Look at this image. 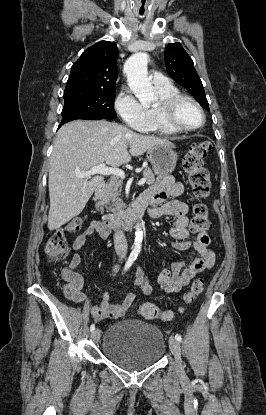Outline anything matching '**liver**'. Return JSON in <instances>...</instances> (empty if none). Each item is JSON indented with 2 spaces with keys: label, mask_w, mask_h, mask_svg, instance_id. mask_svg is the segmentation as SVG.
Returning a JSON list of instances; mask_svg holds the SVG:
<instances>
[{
  "label": "liver",
  "mask_w": 266,
  "mask_h": 415,
  "mask_svg": "<svg viewBox=\"0 0 266 415\" xmlns=\"http://www.w3.org/2000/svg\"><path fill=\"white\" fill-rule=\"evenodd\" d=\"M157 144L171 145L166 139L142 135L105 120H75L63 125L50 157L48 229H58L79 215L102 181L99 176L90 181L77 178L76 173L101 163L118 167Z\"/></svg>",
  "instance_id": "liver-1"
}]
</instances>
